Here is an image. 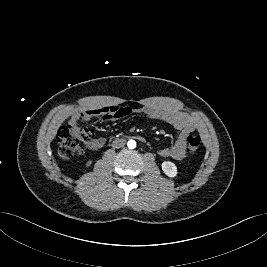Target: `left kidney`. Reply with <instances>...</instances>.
Returning <instances> with one entry per match:
<instances>
[{"label":"left kidney","instance_id":"1","mask_svg":"<svg viewBox=\"0 0 267 267\" xmlns=\"http://www.w3.org/2000/svg\"><path fill=\"white\" fill-rule=\"evenodd\" d=\"M163 172L170 178H174L177 175V167L171 161H164L161 165Z\"/></svg>","mask_w":267,"mask_h":267}]
</instances>
